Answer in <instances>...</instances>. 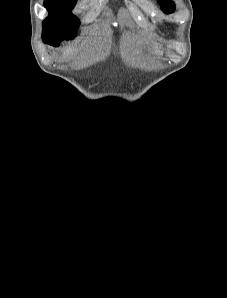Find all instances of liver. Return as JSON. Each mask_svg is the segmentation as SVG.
Segmentation results:
<instances>
[{
  "label": "liver",
  "instance_id": "obj_1",
  "mask_svg": "<svg viewBox=\"0 0 227 298\" xmlns=\"http://www.w3.org/2000/svg\"><path fill=\"white\" fill-rule=\"evenodd\" d=\"M74 50H72V49H67V50H65L64 51V55L65 56H68V55H70V53H72Z\"/></svg>",
  "mask_w": 227,
  "mask_h": 298
}]
</instances>
